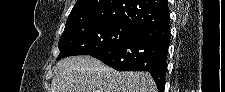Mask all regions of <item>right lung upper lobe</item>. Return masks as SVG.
Masks as SVG:
<instances>
[{"instance_id":"1","label":"right lung upper lobe","mask_w":225,"mask_h":92,"mask_svg":"<svg viewBox=\"0 0 225 92\" xmlns=\"http://www.w3.org/2000/svg\"><path fill=\"white\" fill-rule=\"evenodd\" d=\"M169 21L167 0H77L65 29L85 23L120 22L140 30Z\"/></svg>"}]
</instances>
